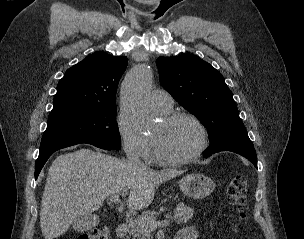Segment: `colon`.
Here are the masks:
<instances>
[{
  "mask_svg": "<svg viewBox=\"0 0 304 239\" xmlns=\"http://www.w3.org/2000/svg\"><path fill=\"white\" fill-rule=\"evenodd\" d=\"M227 196L230 204L233 227L236 232L242 229L246 218L247 179L244 175H235L227 187ZM77 239H110L106 229H92L77 237Z\"/></svg>",
  "mask_w": 304,
  "mask_h": 239,
  "instance_id": "5ec220e1",
  "label": "colon"
}]
</instances>
